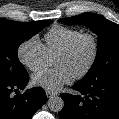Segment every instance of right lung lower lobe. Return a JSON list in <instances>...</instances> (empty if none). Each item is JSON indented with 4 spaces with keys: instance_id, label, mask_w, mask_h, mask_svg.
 <instances>
[{
    "instance_id": "98d812e1",
    "label": "right lung lower lobe",
    "mask_w": 119,
    "mask_h": 119,
    "mask_svg": "<svg viewBox=\"0 0 119 119\" xmlns=\"http://www.w3.org/2000/svg\"><path fill=\"white\" fill-rule=\"evenodd\" d=\"M28 80L29 76L26 74L16 81L0 82V119H31L46 102L47 97L41 87L14 95V91L18 94V89H24Z\"/></svg>"
}]
</instances>
